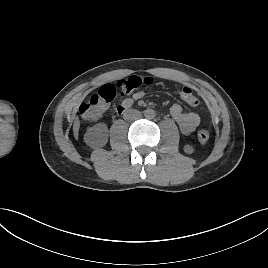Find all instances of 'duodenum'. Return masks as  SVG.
Masks as SVG:
<instances>
[{
  "label": "duodenum",
  "mask_w": 268,
  "mask_h": 268,
  "mask_svg": "<svg viewBox=\"0 0 268 268\" xmlns=\"http://www.w3.org/2000/svg\"><path fill=\"white\" fill-rule=\"evenodd\" d=\"M125 109H126V108H124V107H118L116 111H117V113L120 114V113H122Z\"/></svg>",
  "instance_id": "obj_1"
}]
</instances>
